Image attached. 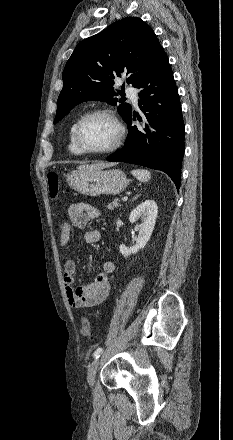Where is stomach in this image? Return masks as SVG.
<instances>
[{
	"mask_svg": "<svg viewBox=\"0 0 233 440\" xmlns=\"http://www.w3.org/2000/svg\"><path fill=\"white\" fill-rule=\"evenodd\" d=\"M66 181L72 189L89 196L117 195L128 185V180L121 170H102L92 167L70 172Z\"/></svg>",
	"mask_w": 233,
	"mask_h": 440,
	"instance_id": "stomach-1",
	"label": "stomach"
}]
</instances>
